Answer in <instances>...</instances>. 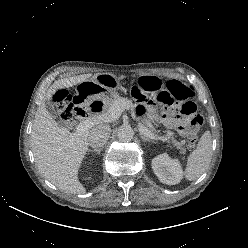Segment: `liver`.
<instances>
[{
  "label": "liver",
  "instance_id": "6515ba94",
  "mask_svg": "<svg viewBox=\"0 0 248 248\" xmlns=\"http://www.w3.org/2000/svg\"><path fill=\"white\" fill-rule=\"evenodd\" d=\"M91 76L88 73L57 80L47 90L45 98L50 99L57 90L77 85ZM89 134V129L82 134H74L60 127L42 103L35 114L31 147L43 177L71 194L85 193L78 179V170L88 150Z\"/></svg>",
  "mask_w": 248,
  "mask_h": 248
}]
</instances>
